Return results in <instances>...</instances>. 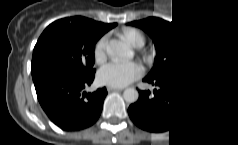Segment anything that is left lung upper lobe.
<instances>
[{
    "mask_svg": "<svg viewBox=\"0 0 238 145\" xmlns=\"http://www.w3.org/2000/svg\"><path fill=\"white\" fill-rule=\"evenodd\" d=\"M129 24L144 30L156 48L155 63L146 78L202 71L199 48L182 27L158 17H148Z\"/></svg>",
    "mask_w": 238,
    "mask_h": 145,
    "instance_id": "1",
    "label": "left lung upper lobe"
}]
</instances>
